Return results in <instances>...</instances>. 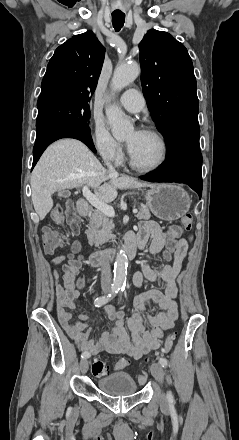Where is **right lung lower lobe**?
I'll list each match as a JSON object with an SVG mask.
<instances>
[{
    "label": "right lung lower lobe",
    "instance_id": "right-lung-lower-lobe-1",
    "mask_svg": "<svg viewBox=\"0 0 239 440\" xmlns=\"http://www.w3.org/2000/svg\"><path fill=\"white\" fill-rule=\"evenodd\" d=\"M37 136L33 148V165H36L44 150L52 142L61 138H75L85 143L93 152H96L90 130L64 123V122H48L36 127Z\"/></svg>",
    "mask_w": 239,
    "mask_h": 440
}]
</instances>
